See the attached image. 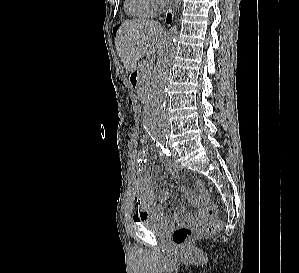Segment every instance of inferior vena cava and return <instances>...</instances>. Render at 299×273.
Returning <instances> with one entry per match:
<instances>
[{"label": "inferior vena cava", "instance_id": "602c4592", "mask_svg": "<svg viewBox=\"0 0 299 273\" xmlns=\"http://www.w3.org/2000/svg\"><path fill=\"white\" fill-rule=\"evenodd\" d=\"M164 5H165V3H164V1L161 3V7H164Z\"/></svg>", "mask_w": 299, "mask_h": 273}]
</instances>
